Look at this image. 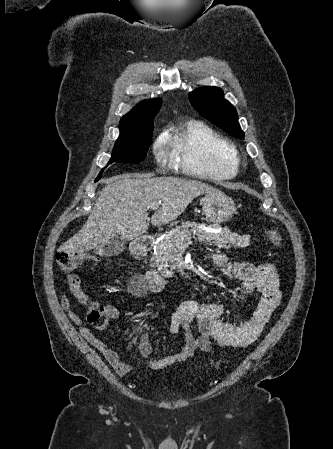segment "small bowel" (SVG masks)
<instances>
[{
	"label": "small bowel",
	"mask_w": 333,
	"mask_h": 449,
	"mask_svg": "<svg viewBox=\"0 0 333 449\" xmlns=\"http://www.w3.org/2000/svg\"><path fill=\"white\" fill-rule=\"evenodd\" d=\"M208 259L213 266L223 269L229 276L239 279V299L247 303L249 299L256 300V307L245 319H223L224 307L218 303L188 300L182 302L172 314L170 332L184 333L181 348L164 358L152 359V345L148 334L143 333L138 340L140 355L146 360L150 369H162L190 358L197 350L208 352L213 343L225 348H242L255 341L265 329L274 310L280 304L282 290L279 277L272 264L263 263H228L227 257L220 252L211 253ZM67 282L70 292L86 308L91 309L98 304L89 299L81 287V279L77 274H69ZM61 304L70 319L80 324V318L71 310L65 294L61 296ZM105 316L115 320L119 312L113 307H106ZM198 325V334L192 332V324ZM99 326L98 330H102ZM81 336L97 348L114 368L117 374L124 376L133 370V366L120 360L118 354L100 340L88 328H80Z\"/></svg>",
	"instance_id": "1"
}]
</instances>
